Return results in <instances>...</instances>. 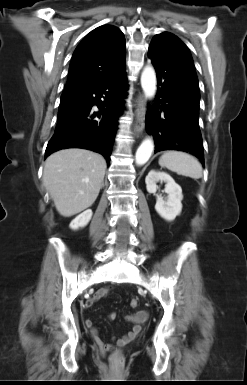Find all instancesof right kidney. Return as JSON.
Here are the masks:
<instances>
[{"label":"right kidney","mask_w":247,"mask_h":385,"mask_svg":"<svg viewBox=\"0 0 247 385\" xmlns=\"http://www.w3.org/2000/svg\"><path fill=\"white\" fill-rule=\"evenodd\" d=\"M92 214L93 213L91 209L84 211L83 213L78 215L74 220L71 221L70 228L73 230H77L79 228L85 227L91 220Z\"/></svg>","instance_id":"right-kidney-1"}]
</instances>
